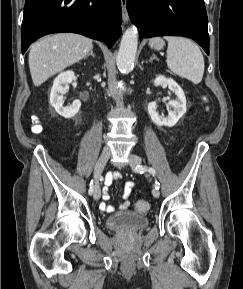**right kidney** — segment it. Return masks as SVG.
<instances>
[{
	"instance_id": "ca27d5eb",
	"label": "right kidney",
	"mask_w": 243,
	"mask_h": 289,
	"mask_svg": "<svg viewBox=\"0 0 243 289\" xmlns=\"http://www.w3.org/2000/svg\"><path fill=\"white\" fill-rule=\"evenodd\" d=\"M75 78L73 71H65L60 73L54 80L50 93V104L55 108L56 112L64 118L74 117L80 107L81 102L79 100L73 101L72 105L63 106V94L67 92V84L71 83ZM65 85V87H64Z\"/></svg>"
}]
</instances>
